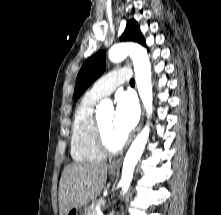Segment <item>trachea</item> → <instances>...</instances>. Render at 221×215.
Segmentation results:
<instances>
[{
	"mask_svg": "<svg viewBox=\"0 0 221 215\" xmlns=\"http://www.w3.org/2000/svg\"><path fill=\"white\" fill-rule=\"evenodd\" d=\"M134 83H135L134 79H131L130 84H134Z\"/></svg>",
	"mask_w": 221,
	"mask_h": 215,
	"instance_id": "obj_1",
	"label": "trachea"
}]
</instances>
